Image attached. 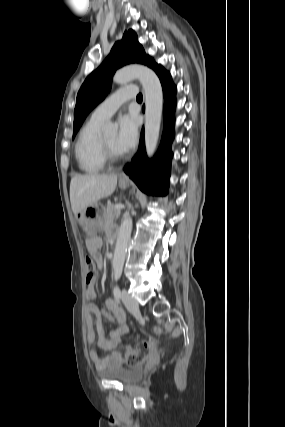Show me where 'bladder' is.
I'll return each mask as SVG.
<instances>
[{
  "mask_svg": "<svg viewBox=\"0 0 285 427\" xmlns=\"http://www.w3.org/2000/svg\"><path fill=\"white\" fill-rule=\"evenodd\" d=\"M100 376L107 380H116L125 384H131L143 376V368L140 365L132 367L113 366L101 371Z\"/></svg>",
  "mask_w": 285,
  "mask_h": 427,
  "instance_id": "1",
  "label": "bladder"
}]
</instances>
